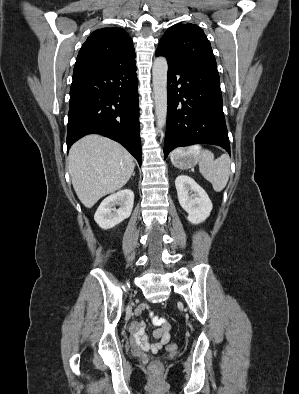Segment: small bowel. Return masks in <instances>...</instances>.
I'll use <instances>...</instances> for the list:
<instances>
[{
    "label": "small bowel",
    "instance_id": "c3829d8e",
    "mask_svg": "<svg viewBox=\"0 0 299 394\" xmlns=\"http://www.w3.org/2000/svg\"><path fill=\"white\" fill-rule=\"evenodd\" d=\"M148 309L146 304H141L135 311L137 316L141 315ZM152 321L157 328L153 331L151 342L145 332V323L143 321L134 322L130 325L131 343L134 348L142 352L156 353L170 342V323L164 318L150 314Z\"/></svg>",
    "mask_w": 299,
    "mask_h": 394
}]
</instances>
